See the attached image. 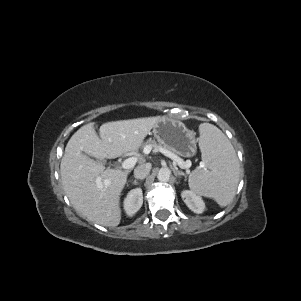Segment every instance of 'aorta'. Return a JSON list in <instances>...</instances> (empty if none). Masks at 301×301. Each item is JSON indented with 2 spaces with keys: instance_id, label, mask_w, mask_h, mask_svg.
Returning <instances> with one entry per match:
<instances>
[{
  "instance_id": "obj_1",
  "label": "aorta",
  "mask_w": 301,
  "mask_h": 301,
  "mask_svg": "<svg viewBox=\"0 0 301 301\" xmlns=\"http://www.w3.org/2000/svg\"><path fill=\"white\" fill-rule=\"evenodd\" d=\"M171 177V170L168 167H162L157 175L160 182H168Z\"/></svg>"
}]
</instances>
